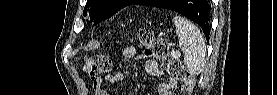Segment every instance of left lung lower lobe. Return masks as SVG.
I'll return each instance as SVG.
<instances>
[{
    "label": "left lung lower lobe",
    "instance_id": "0a47b994",
    "mask_svg": "<svg viewBox=\"0 0 277 95\" xmlns=\"http://www.w3.org/2000/svg\"><path fill=\"white\" fill-rule=\"evenodd\" d=\"M161 0H135L131 5H146L157 7ZM167 9L174 10L185 17L195 21L204 31L209 40L210 3L208 0H177Z\"/></svg>",
    "mask_w": 277,
    "mask_h": 95
}]
</instances>
